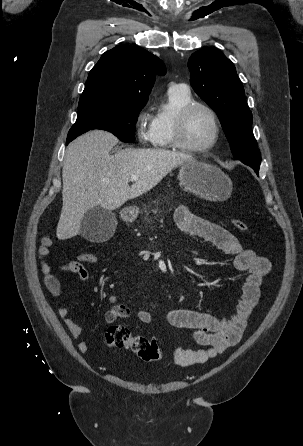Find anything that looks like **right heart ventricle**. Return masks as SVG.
<instances>
[{
  "label": "right heart ventricle",
  "mask_w": 303,
  "mask_h": 446,
  "mask_svg": "<svg viewBox=\"0 0 303 446\" xmlns=\"http://www.w3.org/2000/svg\"><path fill=\"white\" fill-rule=\"evenodd\" d=\"M191 102L192 96L188 89L169 87L163 105L152 118L151 143L154 147L159 149L175 147L173 143L174 118L184 106Z\"/></svg>",
  "instance_id": "e07e8e85"
}]
</instances>
